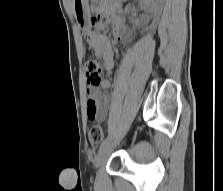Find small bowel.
I'll return each instance as SVG.
<instances>
[{
	"mask_svg": "<svg viewBox=\"0 0 223 191\" xmlns=\"http://www.w3.org/2000/svg\"><path fill=\"white\" fill-rule=\"evenodd\" d=\"M98 13L104 11L103 6H99ZM110 21L104 16L99 15L95 20L94 29L89 31L86 40L89 46L94 50L95 55L102 59L103 69L109 71L113 68V49L111 41L103 32ZM113 35L117 41H123L126 35V24L123 20H114ZM111 87V82L108 79H102L98 86L89 85L87 88V116L90 120L105 121L109 115L110 99L99 91H108Z\"/></svg>",
	"mask_w": 223,
	"mask_h": 191,
	"instance_id": "small-bowel-1",
	"label": "small bowel"
}]
</instances>
